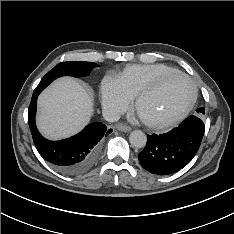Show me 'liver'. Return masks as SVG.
Segmentation results:
<instances>
[{
  "instance_id": "1",
  "label": "liver",
  "mask_w": 234,
  "mask_h": 234,
  "mask_svg": "<svg viewBox=\"0 0 234 234\" xmlns=\"http://www.w3.org/2000/svg\"><path fill=\"white\" fill-rule=\"evenodd\" d=\"M93 111L90 91L72 78H60L38 98L37 127L46 138H66L79 132Z\"/></svg>"
}]
</instances>
